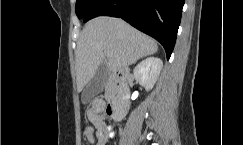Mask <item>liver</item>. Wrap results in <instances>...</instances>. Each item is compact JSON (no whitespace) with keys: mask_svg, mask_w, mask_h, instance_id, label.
Listing matches in <instances>:
<instances>
[{"mask_svg":"<svg viewBox=\"0 0 243 145\" xmlns=\"http://www.w3.org/2000/svg\"><path fill=\"white\" fill-rule=\"evenodd\" d=\"M157 50L155 40L121 19L100 16L90 20L75 51L77 91L84 89L101 64L115 72Z\"/></svg>","mask_w":243,"mask_h":145,"instance_id":"6515ba94","label":"liver"}]
</instances>
